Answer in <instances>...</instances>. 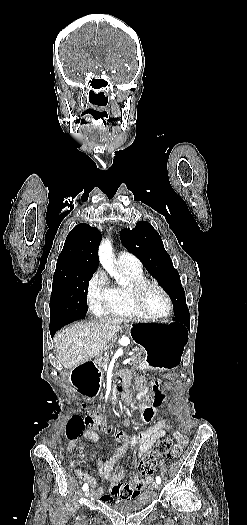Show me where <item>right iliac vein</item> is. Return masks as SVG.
Returning a JSON list of instances; mask_svg holds the SVG:
<instances>
[{"instance_id": "obj_1", "label": "right iliac vein", "mask_w": 247, "mask_h": 525, "mask_svg": "<svg viewBox=\"0 0 247 525\" xmlns=\"http://www.w3.org/2000/svg\"><path fill=\"white\" fill-rule=\"evenodd\" d=\"M84 495H85L86 497H88V496L90 495V490H89V489L86 490Z\"/></svg>"}]
</instances>
